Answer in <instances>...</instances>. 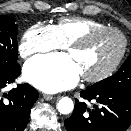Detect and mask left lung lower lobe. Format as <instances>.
Returning a JSON list of instances; mask_svg holds the SVG:
<instances>
[{
	"label": "left lung lower lobe",
	"instance_id": "0a47b994",
	"mask_svg": "<svg viewBox=\"0 0 131 131\" xmlns=\"http://www.w3.org/2000/svg\"><path fill=\"white\" fill-rule=\"evenodd\" d=\"M80 96L98 104L88 108L76 100L72 116L64 121L67 131H125L131 125V94L89 87Z\"/></svg>",
	"mask_w": 131,
	"mask_h": 131
}]
</instances>
